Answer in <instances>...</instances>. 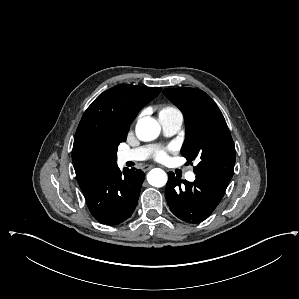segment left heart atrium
<instances>
[{
    "label": "left heart atrium",
    "instance_id": "39dd6f15",
    "mask_svg": "<svg viewBox=\"0 0 299 299\" xmlns=\"http://www.w3.org/2000/svg\"><path fill=\"white\" fill-rule=\"evenodd\" d=\"M172 150H173V147L158 149L155 151L154 157L156 160L164 161L168 158V152L172 151Z\"/></svg>",
    "mask_w": 299,
    "mask_h": 299
}]
</instances>
